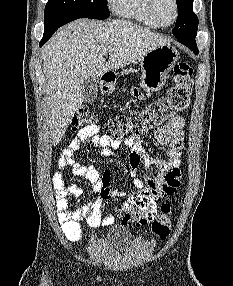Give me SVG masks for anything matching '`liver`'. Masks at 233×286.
I'll use <instances>...</instances> for the list:
<instances>
[{
    "instance_id": "6515ba94",
    "label": "liver",
    "mask_w": 233,
    "mask_h": 286,
    "mask_svg": "<svg viewBox=\"0 0 233 286\" xmlns=\"http://www.w3.org/2000/svg\"><path fill=\"white\" fill-rule=\"evenodd\" d=\"M164 44L167 39L129 20L79 19L59 29L42 48L52 143L61 141L81 107L82 85L89 76L123 68Z\"/></svg>"
}]
</instances>
